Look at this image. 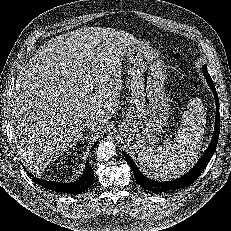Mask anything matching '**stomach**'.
<instances>
[{"instance_id":"stomach-1","label":"stomach","mask_w":231,"mask_h":231,"mask_svg":"<svg viewBox=\"0 0 231 231\" xmlns=\"http://www.w3.org/2000/svg\"><path fill=\"white\" fill-rule=\"evenodd\" d=\"M130 74V107L120 133L128 147L145 150L155 143L167 124L169 100L165 94V73L158 52L147 44L127 50Z\"/></svg>"}]
</instances>
